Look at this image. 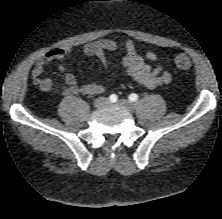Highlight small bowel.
I'll return each instance as SVG.
<instances>
[{
    "instance_id": "c3829d8e",
    "label": "small bowel",
    "mask_w": 222,
    "mask_h": 219,
    "mask_svg": "<svg viewBox=\"0 0 222 219\" xmlns=\"http://www.w3.org/2000/svg\"><path fill=\"white\" fill-rule=\"evenodd\" d=\"M121 48L126 52L121 65L139 85L151 89L172 81L171 71L166 65L157 63L158 56L155 52L148 51L142 57L137 53L135 43L129 39L122 43L111 39L96 40L86 44L78 52L85 56L98 58L105 68H109L106 52ZM71 53L72 48L70 46H63L52 49L41 56L30 75L32 84L44 92H61L67 95H98L103 93L104 87L99 83L77 84L75 76L66 69L64 64L60 66V71L63 74L62 84L56 83L52 78L45 75V69L51 62L55 60L66 61Z\"/></svg>"
}]
</instances>
